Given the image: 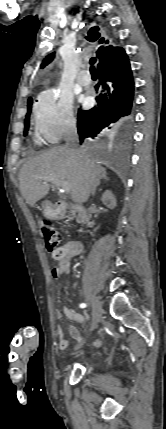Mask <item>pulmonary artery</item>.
<instances>
[{"instance_id": "1", "label": "pulmonary artery", "mask_w": 166, "mask_h": 429, "mask_svg": "<svg viewBox=\"0 0 166 429\" xmlns=\"http://www.w3.org/2000/svg\"><path fill=\"white\" fill-rule=\"evenodd\" d=\"M82 74H87V70H84ZM77 81L81 86H87L90 82V79L89 77H83L82 75H79Z\"/></svg>"}]
</instances>
